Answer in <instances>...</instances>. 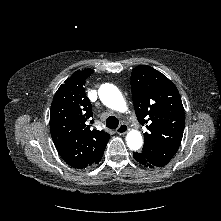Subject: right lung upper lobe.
I'll use <instances>...</instances> for the list:
<instances>
[{"mask_svg": "<svg viewBox=\"0 0 221 221\" xmlns=\"http://www.w3.org/2000/svg\"><path fill=\"white\" fill-rule=\"evenodd\" d=\"M92 69L78 70L54 95L50 111V132L54 145L73 168L84 169L103 156L110 135L93 129L91 103L84 85Z\"/></svg>", "mask_w": 221, "mask_h": 221, "instance_id": "obj_1", "label": "right lung upper lobe"}]
</instances>
